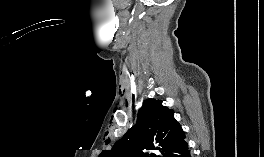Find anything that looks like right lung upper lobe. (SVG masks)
Masks as SVG:
<instances>
[{"label": "right lung upper lobe", "instance_id": "right-lung-upper-lobe-1", "mask_svg": "<svg viewBox=\"0 0 264 157\" xmlns=\"http://www.w3.org/2000/svg\"><path fill=\"white\" fill-rule=\"evenodd\" d=\"M185 139L174 111L162 105V100L148 99L138 112V119L113 148L99 157H155L146 150H159L165 156Z\"/></svg>", "mask_w": 264, "mask_h": 157}]
</instances>
